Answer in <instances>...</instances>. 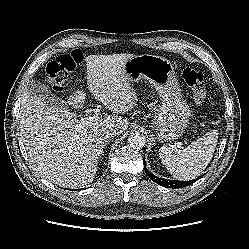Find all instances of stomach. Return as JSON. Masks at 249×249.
Instances as JSON below:
<instances>
[{"instance_id": "0dacf381", "label": "stomach", "mask_w": 249, "mask_h": 249, "mask_svg": "<svg viewBox=\"0 0 249 249\" xmlns=\"http://www.w3.org/2000/svg\"><path fill=\"white\" fill-rule=\"evenodd\" d=\"M122 70L131 83L148 80L161 98L152 120L155 139L168 142L179 138L188 125L190 110L182 97L172 63L162 56L143 54L127 60Z\"/></svg>"}]
</instances>
